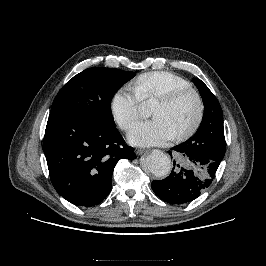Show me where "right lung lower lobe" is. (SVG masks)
Instances as JSON below:
<instances>
[{"label":"right lung lower lobe","mask_w":266,"mask_h":266,"mask_svg":"<svg viewBox=\"0 0 266 266\" xmlns=\"http://www.w3.org/2000/svg\"><path fill=\"white\" fill-rule=\"evenodd\" d=\"M123 141L114 125L51 113L43 151L56 191L77 206L92 207L102 202L111 190L117 162L137 157Z\"/></svg>","instance_id":"right-lung-lower-lobe-1"}]
</instances>
